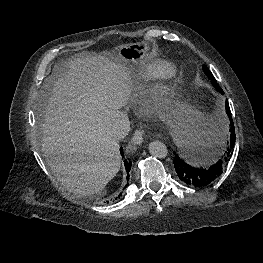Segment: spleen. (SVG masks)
Here are the masks:
<instances>
[{
  "mask_svg": "<svg viewBox=\"0 0 263 263\" xmlns=\"http://www.w3.org/2000/svg\"><path fill=\"white\" fill-rule=\"evenodd\" d=\"M226 132V122L222 119L212 122L199 120L176 126L174 136L179 145L192 152L201 153L202 160L207 161L210 160L208 157L216 154V151L213 150L223 145Z\"/></svg>",
  "mask_w": 263,
  "mask_h": 263,
  "instance_id": "3e777b00",
  "label": "spleen"
}]
</instances>
